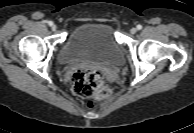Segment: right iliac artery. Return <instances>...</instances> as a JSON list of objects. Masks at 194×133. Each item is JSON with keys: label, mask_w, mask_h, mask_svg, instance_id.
<instances>
[{"label": "right iliac artery", "mask_w": 194, "mask_h": 133, "mask_svg": "<svg viewBox=\"0 0 194 133\" xmlns=\"http://www.w3.org/2000/svg\"><path fill=\"white\" fill-rule=\"evenodd\" d=\"M48 25H49V26H52V25H53V22H52V21H49V22H48Z\"/></svg>", "instance_id": "1"}]
</instances>
